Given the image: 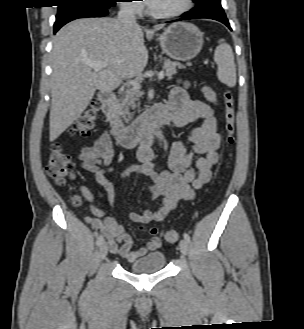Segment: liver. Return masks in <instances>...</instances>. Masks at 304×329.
Wrapping results in <instances>:
<instances>
[{
    "mask_svg": "<svg viewBox=\"0 0 304 329\" xmlns=\"http://www.w3.org/2000/svg\"><path fill=\"white\" fill-rule=\"evenodd\" d=\"M163 24L156 25L160 30ZM86 61L107 67L94 71ZM148 62L139 25L113 18L77 19L53 38L49 140L57 139L87 108L95 91H112L124 79L139 75Z\"/></svg>",
    "mask_w": 304,
    "mask_h": 329,
    "instance_id": "obj_1",
    "label": "liver"
}]
</instances>
